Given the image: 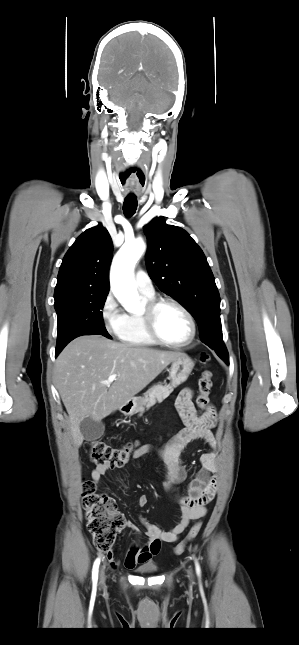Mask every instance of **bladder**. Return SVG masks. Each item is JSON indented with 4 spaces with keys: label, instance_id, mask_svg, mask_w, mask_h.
Listing matches in <instances>:
<instances>
[{
    "label": "bladder",
    "instance_id": "31cf9c89",
    "mask_svg": "<svg viewBox=\"0 0 299 645\" xmlns=\"http://www.w3.org/2000/svg\"><path fill=\"white\" fill-rule=\"evenodd\" d=\"M137 570L141 573H153L157 570V565L153 562L140 565Z\"/></svg>",
    "mask_w": 299,
    "mask_h": 645
}]
</instances>
